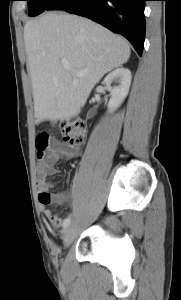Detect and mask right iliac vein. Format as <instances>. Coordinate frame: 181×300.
<instances>
[{
	"label": "right iliac vein",
	"instance_id": "1",
	"mask_svg": "<svg viewBox=\"0 0 181 300\" xmlns=\"http://www.w3.org/2000/svg\"><path fill=\"white\" fill-rule=\"evenodd\" d=\"M74 238H75V232H74L73 225H69L64 231V237H63L64 245L66 247L69 246L73 242Z\"/></svg>",
	"mask_w": 181,
	"mask_h": 300
}]
</instances>
